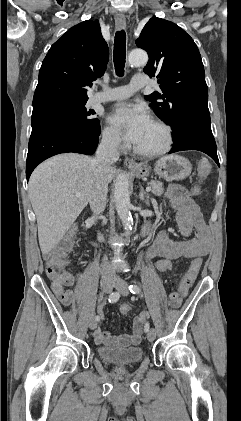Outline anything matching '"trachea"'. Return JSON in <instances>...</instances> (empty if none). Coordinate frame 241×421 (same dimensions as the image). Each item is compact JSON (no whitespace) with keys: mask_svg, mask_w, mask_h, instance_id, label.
Instances as JSON below:
<instances>
[{"mask_svg":"<svg viewBox=\"0 0 241 421\" xmlns=\"http://www.w3.org/2000/svg\"><path fill=\"white\" fill-rule=\"evenodd\" d=\"M113 58L116 74L121 77L124 75L126 58V33L124 30L115 34Z\"/></svg>","mask_w":241,"mask_h":421,"instance_id":"1","label":"trachea"}]
</instances>
